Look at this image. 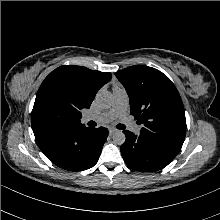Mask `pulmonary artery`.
Listing matches in <instances>:
<instances>
[{
  "instance_id": "1",
  "label": "pulmonary artery",
  "mask_w": 220,
  "mask_h": 220,
  "mask_svg": "<svg viewBox=\"0 0 220 220\" xmlns=\"http://www.w3.org/2000/svg\"><path fill=\"white\" fill-rule=\"evenodd\" d=\"M114 102L112 108L108 112L86 115L82 118L84 122L95 121L100 124L110 122L115 118H123L128 127L135 133L139 132L140 127L128 121L125 117L128 109V95L126 90L121 86L113 88Z\"/></svg>"
}]
</instances>
